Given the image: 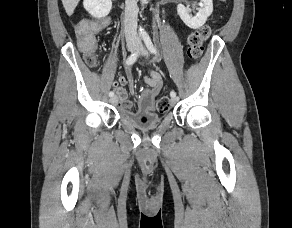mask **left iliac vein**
<instances>
[{"label": "left iliac vein", "mask_w": 292, "mask_h": 228, "mask_svg": "<svg viewBox=\"0 0 292 228\" xmlns=\"http://www.w3.org/2000/svg\"><path fill=\"white\" fill-rule=\"evenodd\" d=\"M140 50H141L142 55H148L147 49L142 44H141ZM177 102H178V98H176V97H172L170 100V103L172 106L176 105Z\"/></svg>", "instance_id": "left-iliac-vein-1"}]
</instances>
